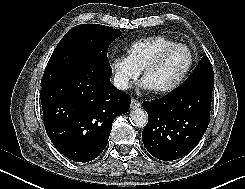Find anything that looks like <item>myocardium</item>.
<instances>
[{
    "label": "myocardium",
    "mask_w": 245,
    "mask_h": 189,
    "mask_svg": "<svg viewBox=\"0 0 245 189\" xmlns=\"http://www.w3.org/2000/svg\"><path fill=\"white\" fill-rule=\"evenodd\" d=\"M175 48H184L188 51L189 53V63L188 66L186 67V69L184 70V72L181 74V76L174 81L173 83H171L168 86H165L163 88L154 90L155 93L157 94H168L171 93L173 91H175L176 89H178L181 85H183V83L187 80L188 76L190 75L193 67H194V62H195V57H194V53L193 51L190 49L189 46H187L186 44L183 43H172L169 45H166L164 47H162L147 63L146 65L143 67L142 69V78L144 79V77L146 76V74L152 70L153 68H155L164 58V56L170 52L171 50L175 49Z\"/></svg>",
    "instance_id": "1"
}]
</instances>
